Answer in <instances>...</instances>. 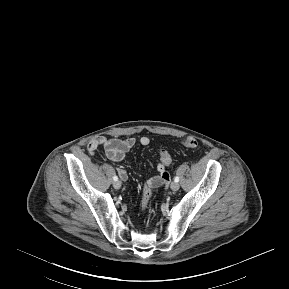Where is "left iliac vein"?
Instances as JSON below:
<instances>
[{"mask_svg":"<svg viewBox=\"0 0 289 289\" xmlns=\"http://www.w3.org/2000/svg\"><path fill=\"white\" fill-rule=\"evenodd\" d=\"M180 185L178 184V182H172L171 185H170V188L173 190V191H177L179 189Z\"/></svg>","mask_w":289,"mask_h":289,"instance_id":"1","label":"left iliac vein"}]
</instances>
